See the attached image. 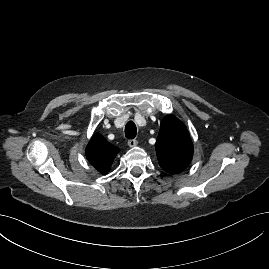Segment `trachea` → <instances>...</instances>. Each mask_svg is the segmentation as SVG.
<instances>
[{
  "mask_svg": "<svg viewBox=\"0 0 269 269\" xmlns=\"http://www.w3.org/2000/svg\"><path fill=\"white\" fill-rule=\"evenodd\" d=\"M137 130L136 125L133 121H129L125 126V136L128 139H134L136 136Z\"/></svg>",
  "mask_w": 269,
  "mask_h": 269,
  "instance_id": "3493384b",
  "label": "trachea"
}]
</instances>
